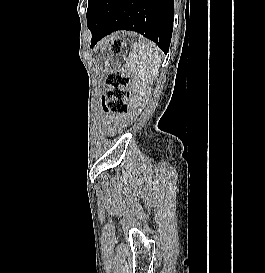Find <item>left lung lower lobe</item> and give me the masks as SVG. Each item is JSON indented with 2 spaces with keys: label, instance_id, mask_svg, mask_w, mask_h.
<instances>
[{
  "label": "left lung lower lobe",
  "instance_id": "1",
  "mask_svg": "<svg viewBox=\"0 0 265 273\" xmlns=\"http://www.w3.org/2000/svg\"><path fill=\"white\" fill-rule=\"evenodd\" d=\"M91 47L116 30H132L168 52L174 19V0H88ZM99 15L103 20L98 22Z\"/></svg>",
  "mask_w": 265,
  "mask_h": 273
}]
</instances>
